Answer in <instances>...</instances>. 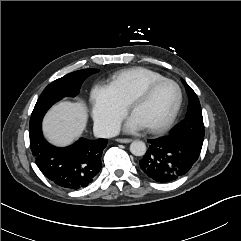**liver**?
Here are the masks:
<instances>
[{
  "mask_svg": "<svg viewBox=\"0 0 241 241\" xmlns=\"http://www.w3.org/2000/svg\"><path fill=\"white\" fill-rule=\"evenodd\" d=\"M87 118V109L83 102H59L43 120L44 135L54 145L67 146L83 133Z\"/></svg>",
  "mask_w": 241,
  "mask_h": 241,
  "instance_id": "6515ba94",
  "label": "liver"
}]
</instances>
